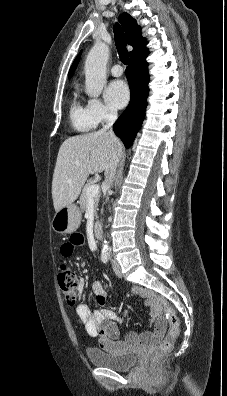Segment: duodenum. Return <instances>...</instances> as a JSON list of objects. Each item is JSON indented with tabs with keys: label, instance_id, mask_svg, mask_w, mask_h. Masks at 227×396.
Wrapping results in <instances>:
<instances>
[{
	"label": "duodenum",
	"instance_id": "obj_1",
	"mask_svg": "<svg viewBox=\"0 0 227 396\" xmlns=\"http://www.w3.org/2000/svg\"><path fill=\"white\" fill-rule=\"evenodd\" d=\"M93 235L95 238L99 239L102 235V227L99 222H96L93 226Z\"/></svg>",
	"mask_w": 227,
	"mask_h": 396
}]
</instances>
